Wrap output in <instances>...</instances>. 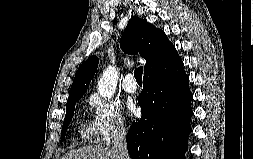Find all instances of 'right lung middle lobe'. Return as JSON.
Returning <instances> with one entry per match:
<instances>
[{"instance_id": "obj_1", "label": "right lung middle lobe", "mask_w": 253, "mask_h": 159, "mask_svg": "<svg viewBox=\"0 0 253 159\" xmlns=\"http://www.w3.org/2000/svg\"><path fill=\"white\" fill-rule=\"evenodd\" d=\"M80 98H75L72 99L70 101H67L66 104V116L63 122V126H62V133H61V140L63 141L65 138V134L68 128V125L70 124V121L73 118L74 115V111H75V104L76 102L79 100Z\"/></svg>"}]
</instances>
